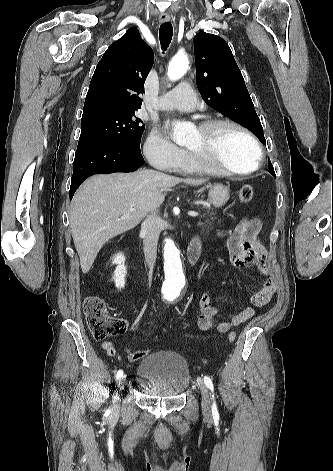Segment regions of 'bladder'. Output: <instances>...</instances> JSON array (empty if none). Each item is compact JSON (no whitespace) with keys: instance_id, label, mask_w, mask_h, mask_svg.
Wrapping results in <instances>:
<instances>
[{"instance_id":"31cf9c89","label":"bladder","mask_w":333,"mask_h":471,"mask_svg":"<svg viewBox=\"0 0 333 471\" xmlns=\"http://www.w3.org/2000/svg\"><path fill=\"white\" fill-rule=\"evenodd\" d=\"M136 374L146 382L150 395L161 398L179 397L191 382L187 361L179 353L170 350L147 355L140 361Z\"/></svg>"}]
</instances>
